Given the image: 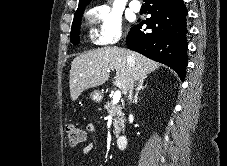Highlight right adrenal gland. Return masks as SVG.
Here are the masks:
<instances>
[{
  "instance_id": "obj_1",
  "label": "right adrenal gland",
  "mask_w": 227,
  "mask_h": 166,
  "mask_svg": "<svg viewBox=\"0 0 227 166\" xmlns=\"http://www.w3.org/2000/svg\"><path fill=\"white\" fill-rule=\"evenodd\" d=\"M144 81L145 80L142 79V80H139V82H138V87L136 89V94H135L134 99H133V103H135V104L138 103V94H139V91H141V90H143V89L146 88V86L143 85L144 84Z\"/></svg>"
}]
</instances>
